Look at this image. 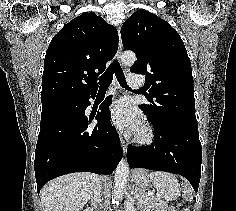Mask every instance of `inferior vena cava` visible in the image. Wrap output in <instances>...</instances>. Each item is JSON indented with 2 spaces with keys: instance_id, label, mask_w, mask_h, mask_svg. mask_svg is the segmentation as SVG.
<instances>
[{
  "instance_id": "602c4592",
  "label": "inferior vena cava",
  "mask_w": 236,
  "mask_h": 211,
  "mask_svg": "<svg viewBox=\"0 0 236 211\" xmlns=\"http://www.w3.org/2000/svg\"><path fill=\"white\" fill-rule=\"evenodd\" d=\"M91 201L94 206H96L97 203L101 202V182H100V179H98L96 182V185L93 190V196L91 198Z\"/></svg>"
}]
</instances>
